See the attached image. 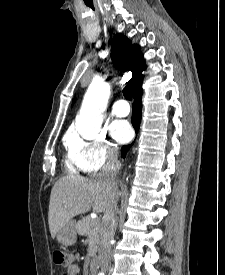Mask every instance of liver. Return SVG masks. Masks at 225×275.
Instances as JSON below:
<instances>
[{
  "mask_svg": "<svg viewBox=\"0 0 225 275\" xmlns=\"http://www.w3.org/2000/svg\"><path fill=\"white\" fill-rule=\"evenodd\" d=\"M109 201V188L99 176L84 178L67 175L53 186L50 195L48 223L51 237L71 219L93 208L94 212L106 210Z\"/></svg>",
  "mask_w": 225,
  "mask_h": 275,
  "instance_id": "6515ba94",
  "label": "liver"
}]
</instances>
